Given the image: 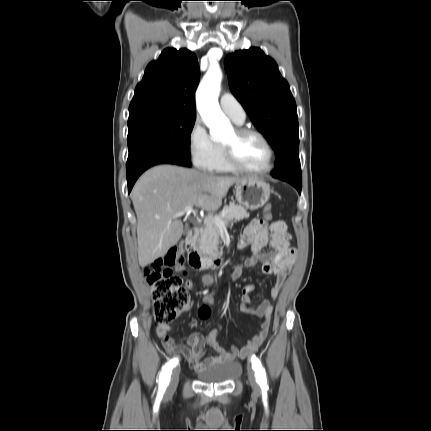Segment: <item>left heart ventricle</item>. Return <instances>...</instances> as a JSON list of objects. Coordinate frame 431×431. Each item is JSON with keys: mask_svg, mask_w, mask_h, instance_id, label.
Instances as JSON below:
<instances>
[{"mask_svg": "<svg viewBox=\"0 0 431 431\" xmlns=\"http://www.w3.org/2000/svg\"><path fill=\"white\" fill-rule=\"evenodd\" d=\"M235 148V153L242 165L251 169L265 167L269 161V154L264 143L254 135L237 138L234 130L223 140Z\"/></svg>", "mask_w": 431, "mask_h": 431, "instance_id": "obj_1", "label": "left heart ventricle"}]
</instances>
